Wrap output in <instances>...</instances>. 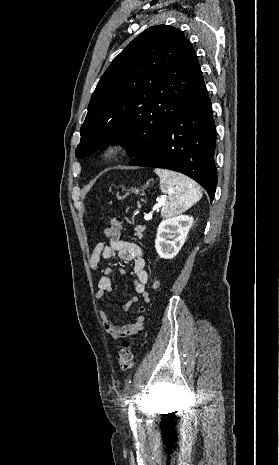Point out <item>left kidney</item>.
<instances>
[{
    "instance_id": "1",
    "label": "left kidney",
    "mask_w": 279,
    "mask_h": 465,
    "mask_svg": "<svg viewBox=\"0 0 279 465\" xmlns=\"http://www.w3.org/2000/svg\"><path fill=\"white\" fill-rule=\"evenodd\" d=\"M193 224V217L178 215L163 220L157 229L155 248L164 259L174 258L185 243L187 234Z\"/></svg>"
}]
</instances>
